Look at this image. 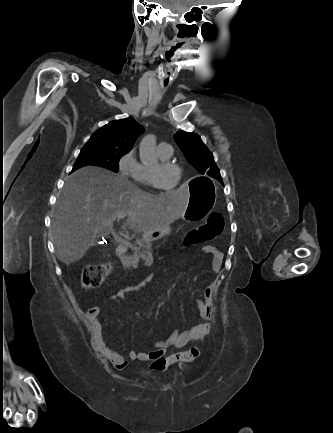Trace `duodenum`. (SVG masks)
<instances>
[{
	"label": "duodenum",
	"instance_id": "410a0bca",
	"mask_svg": "<svg viewBox=\"0 0 333 433\" xmlns=\"http://www.w3.org/2000/svg\"><path fill=\"white\" fill-rule=\"evenodd\" d=\"M138 242H151L152 238L151 237H138L136 239ZM134 246L137 244L135 241L132 243ZM130 245L129 241H125L124 244H121L120 247L116 248L117 252H123L128 246ZM125 248V249H124ZM119 258L122 256L120 253L117 255ZM128 258H121L120 262L124 263L123 267L124 268H136L138 265L137 263V258H131L133 255L130 253H128L126 255ZM130 257V258H129Z\"/></svg>",
	"mask_w": 333,
	"mask_h": 433
}]
</instances>
